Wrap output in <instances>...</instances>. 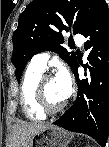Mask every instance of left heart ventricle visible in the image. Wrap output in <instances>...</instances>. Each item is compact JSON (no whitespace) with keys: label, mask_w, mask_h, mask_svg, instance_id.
I'll list each match as a JSON object with an SVG mask.
<instances>
[{"label":"left heart ventricle","mask_w":109,"mask_h":147,"mask_svg":"<svg viewBox=\"0 0 109 147\" xmlns=\"http://www.w3.org/2000/svg\"><path fill=\"white\" fill-rule=\"evenodd\" d=\"M45 93L49 103L52 106H57L64 101L60 86L55 78L50 79L45 84Z\"/></svg>","instance_id":"1"}]
</instances>
